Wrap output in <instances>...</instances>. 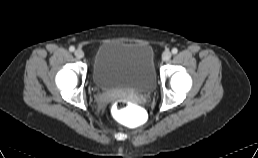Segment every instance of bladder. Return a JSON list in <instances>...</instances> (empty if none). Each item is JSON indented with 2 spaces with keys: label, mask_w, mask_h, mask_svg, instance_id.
Listing matches in <instances>:
<instances>
[{
  "label": "bladder",
  "mask_w": 258,
  "mask_h": 158,
  "mask_svg": "<svg viewBox=\"0 0 258 158\" xmlns=\"http://www.w3.org/2000/svg\"><path fill=\"white\" fill-rule=\"evenodd\" d=\"M92 80L103 90L152 92L156 85L152 47L147 43H102L93 60Z\"/></svg>",
  "instance_id": "1"
}]
</instances>
